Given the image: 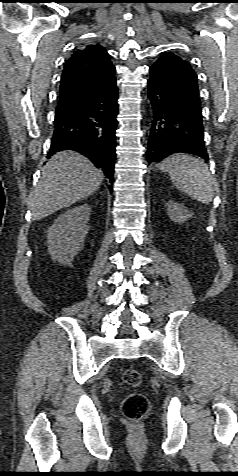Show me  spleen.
I'll return each mask as SVG.
<instances>
[{
	"label": "spleen",
	"mask_w": 238,
	"mask_h": 476,
	"mask_svg": "<svg viewBox=\"0 0 238 476\" xmlns=\"http://www.w3.org/2000/svg\"><path fill=\"white\" fill-rule=\"evenodd\" d=\"M169 173L177 189L193 199L208 204L213 199V181L207 165L187 154H175L158 165Z\"/></svg>",
	"instance_id": "spleen-1"
}]
</instances>
